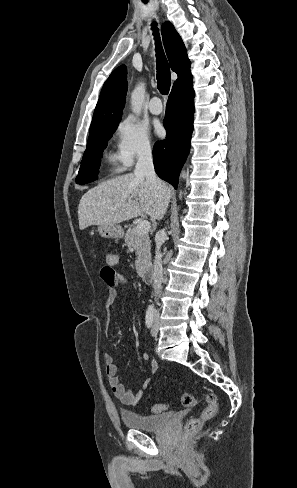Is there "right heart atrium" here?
<instances>
[{
  "label": "right heart atrium",
  "instance_id": "obj_1",
  "mask_svg": "<svg viewBox=\"0 0 297 488\" xmlns=\"http://www.w3.org/2000/svg\"><path fill=\"white\" fill-rule=\"evenodd\" d=\"M116 138L117 157L125 167L153 154L154 145L148 131L133 118L126 117L117 124Z\"/></svg>",
  "mask_w": 297,
  "mask_h": 488
}]
</instances>
